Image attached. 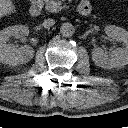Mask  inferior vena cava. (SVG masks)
I'll use <instances>...</instances> for the list:
<instances>
[{
    "mask_svg": "<svg viewBox=\"0 0 128 128\" xmlns=\"http://www.w3.org/2000/svg\"><path fill=\"white\" fill-rule=\"evenodd\" d=\"M54 24H55V20L50 19V18L45 19L44 22H43L44 28H47V29H49V28H50L51 26H53Z\"/></svg>",
    "mask_w": 128,
    "mask_h": 128,
    "instance_id": "inferior-vena-cava-1",
    "label": "inferior vena cava"
}]
</instances>
